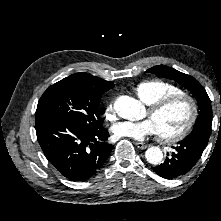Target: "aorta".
Segmentation results:
<instances>
[{
	"label": "aorta",
	"mask_w": 221,
	"mask_h": 221,
	"mask_svg": "<svg viewBox=\"0 0 221 221\" xmlns=\"http://www.w3.org/2000/svg\"><path fill=\"white\" fill-rule=\"evenodd\" d=\"M116 113L128 120H139L143 117L144 107L140 101L129 97L120 96L114 103ZM146 160L153 164L158 165L163 160V153L159 147H149L145 151Z\"/></svg>",
	"instance_id": "obj_1"
}]
</instances>
